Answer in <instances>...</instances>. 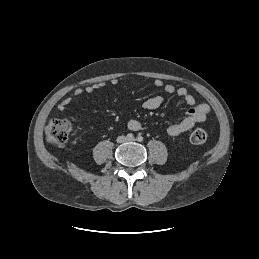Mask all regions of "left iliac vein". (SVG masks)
I'll use <instances>...</instances> for the list:
<instances>
[{"instance_id": "1", "label": "left iliac vein", "mask_w": 259, "mask_h": 259, "mask_svg": "<svg viewBox=\"0 0 259 259\" xmlns=\"http://www.w3.org/2000/svg\"><path fill=\"white\" fill-rule=\"evenodd\" d=\"M128 141H135V139H128Z\"/></svg>"}]
</instances>
